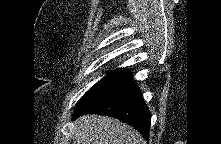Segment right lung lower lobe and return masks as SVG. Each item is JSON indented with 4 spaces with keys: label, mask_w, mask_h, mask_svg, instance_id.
<instances>
[{
    "label": "right lung lower lobe",
    "mask_w": 221,
    "mask_h": 144,
    "mask_svg": "<svg viewBox=\"0 0 221 144\" xmlns=\"http://www.w3.org/2000/svg\"><path fill=\"white\" fill-rule=\"evenodd\" d=\"M93 113L117 118L137 129L146 140L149 139L151 114L132 75L86 109L74 113L72 119Z\"/></svg>",
    "instance_id": "1"
}]
</instances>
